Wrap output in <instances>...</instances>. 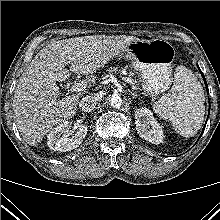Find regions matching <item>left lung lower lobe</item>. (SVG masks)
<instances>
[{"label":"left lung lower lobe","mask_w":220,"mask_h":220,"mask_svg":"<svg viewBox=\"0 0 220 220\" xmlns=\"http://www.w3.org/2000/svg\"><path fill=\"white\" fill-rule=\"evenodd\" d=\"M200 72H201V71H200ZM201 74H202V76H203V79H204L205 84H206V87H207V83H206L205 77H204V75H203V73H202V72H201ZM206 122H207V121H206ZM205 126H206V125H205ZM204 129H205V127H204ZM203 131H204V130H203ZM202 134H203V132H202ZM202 134H201V135H202ZM201 135H200V137H201ZM200 137H199V138H200ZM198 140H199V139H198Z\"/></svg>","instance_id":"1"}]
</instances>
